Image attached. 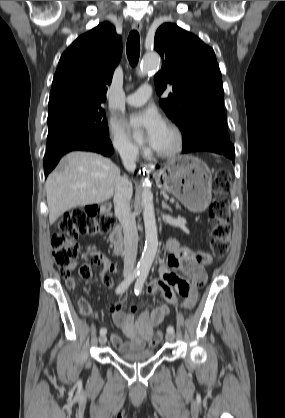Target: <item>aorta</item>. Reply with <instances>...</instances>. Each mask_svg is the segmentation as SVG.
<instances>
[{
    "label": "aorta",
    "instance_id": "obj_1",
    "mask_svg": "<svg viewBox=\"0 0 285 418\" xmlns=\"http://www.w3.org/2000/svg\"><path fill=\"white\" fill-rule=\"evenodd\" d=\"M160 66V56L155 53L144 55L138 74L146 75L149 71L157 70ZM143 220L145 227V246L138 263L141 272L148 273L158 249V233L154 214L153 194L147 179L142 180Z\"/></svg>",
    "mask_w": 285,
    "mask_h": 418
}]
</instances>
